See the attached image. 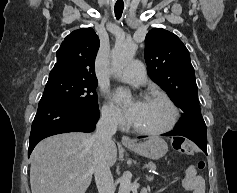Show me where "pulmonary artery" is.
<instances>
[{
	"instance_id": "pulmonary-artery-1",
	"label": "pulmonary artery",
	"mask_w": 237,
	"mask_h": 193,
	"mask_svg": "<svg viewBox=\"0 0 237 193\" xmlns=\"http://www.w3.org/2000/svg\"><path fill=\"white\" fill-rule=\"evenodd\" d=\"M116 78L132 85H143L146 80V75L142 62L138 60L133 61L126 68L117 73Z\"/></svg>"
}]
</instances>
